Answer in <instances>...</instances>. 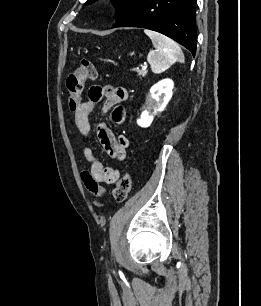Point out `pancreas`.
Listing matches in <instances>:
<instances>
[{"label": "pancreas", "instance_id": "obj_1", "mask_svg": "<svg viewBox=\"0 0 261 306\" xmlns=\"http://www.w3.org/2000/svg\"><path fill=\"white\" fill-rule=\"evenodd\" d=\"M146 74H147V71H139V72H138V75H139V76H142V77H145Z\"/></svg>", "mask_w": 261, "mask_h": 306}]
</instances>
